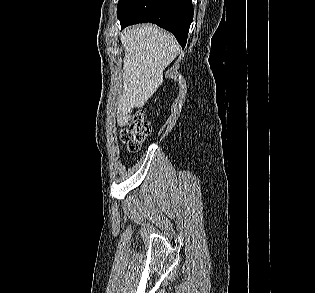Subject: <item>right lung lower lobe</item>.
<instances>
[{
	"label": "right lung lower lobe",
	"mask_w": 315,
	"mask_h": 293,
	"mask_svg": "<svg viewBox=\"0 0 315 293\" xmlns=\"http://www.w3.org/2000/svg\"><path fill=\"white\" fill-rule=\"evenodd\" d=\"M121 29L151 22L172 32L184 48L193 20L192 0H119Z\"/></svg>",
	"instance_id": "1"
}]
</instances>
